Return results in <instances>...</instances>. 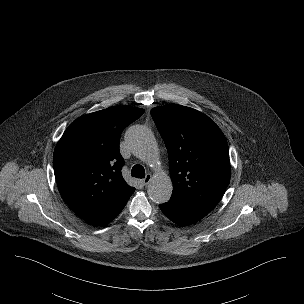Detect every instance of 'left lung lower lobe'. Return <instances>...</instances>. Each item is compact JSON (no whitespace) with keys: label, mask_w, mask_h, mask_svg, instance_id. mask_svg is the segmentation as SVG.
Masks as SVG:
<instances>
[{"label":"left lung lower lobe","mask_w":304,"mask_h":304,"mask_svg":"<svg viewBox=\"0 0 304 304\" xmlns=\"http://www.w3.org/2000/svg\"><path fill=\"white\" fill-rule=\"evenodd\" d=\"M159 207L171 221L180 225L193 224L208 214V211L192 207L175 198L160 204Z\"/></svg>","instance_id":"0a47b994"}]
</instances>
